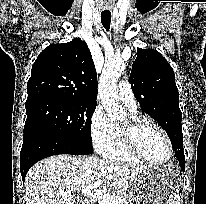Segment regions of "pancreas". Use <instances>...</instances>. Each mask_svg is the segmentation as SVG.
Segmentation results:
<instances>
[{"mask_svg": "<svg viewBox=\"0 0 206 204\" xmlns=\"http://www.w3.org/2000/svg\"><path fill=\"white\" fill-rule=\"evenodd\" d=\"M117 196H120L122 198L120 204H131L129 202V196L125 190L118 191L115 197Z\"/></svg>", "mask_w": 206, "mask_h": 204, "instance_id": "pancreas-1", "label": "pancreas"}]
</instances>
